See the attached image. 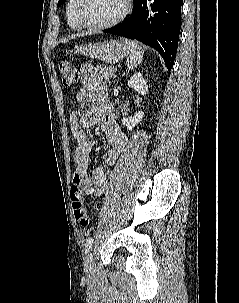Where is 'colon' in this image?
Segmentation results:
<instances>
[{
	"label": "colon",
	"instance_id": "obj_1",
	"mask_svg": "<svg viewBox=\"0 0 239 303\" xmlns=\"http://www.w3.org/2000/svg\"><path fill=\"white\" fill-rule=\"evenodd\" d=\"M59 72L63 85L71 86L78 81L79 75L76 67L69 61H63L59 65ZM72 208L75 219L82 225L87 226L90 222L87 210L83 203V192L79 187L71 188Z\"/></svg>",
	"mask_w": 239,
	"mask_h": 303
}]
</instances>
